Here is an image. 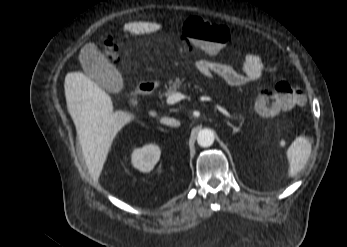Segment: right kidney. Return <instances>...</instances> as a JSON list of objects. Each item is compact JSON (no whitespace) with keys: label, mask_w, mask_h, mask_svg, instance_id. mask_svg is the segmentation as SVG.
Masks as SVG:
<instances>
[{"label":"right kidney","mask_w":347,"mask_h":247,"mask_svg":"<svg viewBox=\"0 0 347 247\" xmlns=\"http://www.w3.org/2000/svg\"><path fill=\"white\" fill-rule=\"evenodd\" d=\"M160 148L154 144H148L134 149L131 157L133 166L141 172H150L160 159Z\"/></svg>","instance_id":"obj_1"}]
</instances>
